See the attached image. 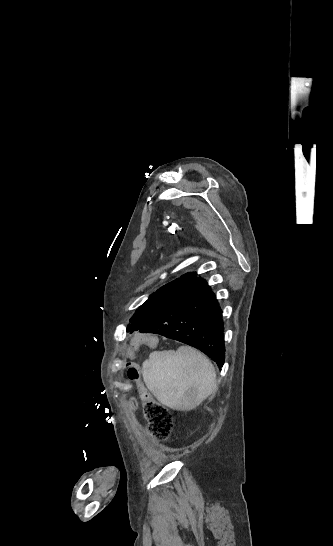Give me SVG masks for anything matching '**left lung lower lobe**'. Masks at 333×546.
<instances>
[{
	"label": "left lung lower lobe",
	"instance_id": "0a47b994",
	"mask_svg": "<svg viewBox=\"0 0 333 546\" xmlns=\"http://www.w3.org/2000/svg\"><path fill=\"white\" fill-rule=\"evenodd\" d=\"M127 332L156 333L191 345L219 367L225 359L222 309L206 281L196 277L174 301L160 309L141 328L130 319Z\"/></svg>",
	"mask_w": 333,
	"mask_h": 546
}]
</instances>
